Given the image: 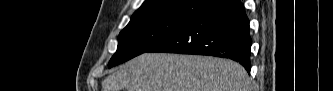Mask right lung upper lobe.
<instances>
[{"instance_id": "cb5924a9", "label": "right lung upper lobe", "mask_w": 333, "mask_h": 91, "mask_svg": "<svg viewBox=\"0 0 333 91\" xmlns=\"http://www.w3.org/2000/svg\"><path fill=\"white\" fill-rule=\"evenodd\" d=\"M204 1L206 0H145L131 19L149 16L194 18L205 9L202 7Z\"/></svg>"}]
</instances>
